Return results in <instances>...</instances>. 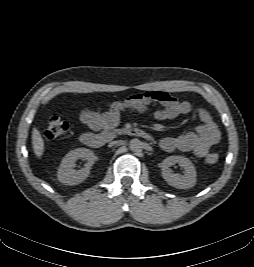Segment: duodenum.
Here are the masks:
<instances>
[{
	"mask_svg": "<svg viewBox=\"0 0 254 267\" xmlns=\"http://www.w3.org/2000/svg\"><path fill=\"white\" fill-rule=\"evenodd\" d=\"M124 132L128 135L140 137L146 140L151 139V135L140 128L132 127L125 129ZM115 135L116 133L111 131H106L103 133L86 132L81 135V141L83 144L91 148H100L104 146L108 140L114 138Z\"/></svg>",
	"mask_w": 254,
	"mask_h": 267,
	"instance_id": "obj_1",
	"label": "duodenum"
}]
</instances>
